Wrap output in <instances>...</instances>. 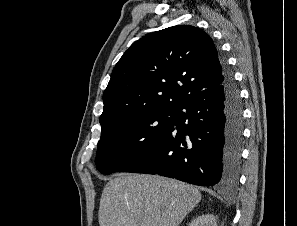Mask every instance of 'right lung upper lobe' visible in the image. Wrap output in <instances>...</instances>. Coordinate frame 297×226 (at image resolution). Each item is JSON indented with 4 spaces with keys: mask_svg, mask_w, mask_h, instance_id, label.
Segmentation results:
<instances>
[{
    "mask_svg": "<svg viewBox=\"0 0 297 226\" xmlns=\"http://www.w3.org/2000/svg\"><path fill=\"white\" fill-rule=\"evenodd\" d=\"M223 80L222 59L203 30L177 25L148 34L116 64L103 93L101 127L150 111H177Z\"/></svg>",
    "mask_w": 297,
    "mask_h": 226,
    "instance_id": "right-lung-upper-lobe-1",
    "label": "right lung upper lobe"
}]
</instances>
